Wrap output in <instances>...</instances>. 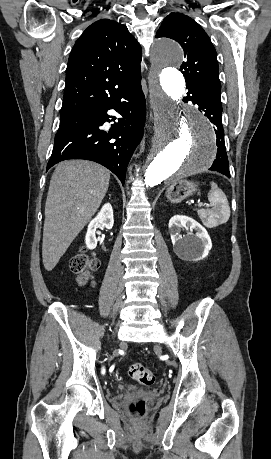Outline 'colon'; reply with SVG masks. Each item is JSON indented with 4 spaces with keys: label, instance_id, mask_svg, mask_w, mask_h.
I'll use <instances>...</instances> for the list:
<instances>
[{
    "label": "colon",
    "instance_id": "1",
    "mask_svg": "<svg viewBox=\"0 0 271 459\" xmlns=\"http://www.w3.org/2000/svg\"><path fill=\"white\" fill-rule=\"evenodd\" d=\"M70 1L75 4L79 0ZM98 267V260L90 257L85 247H82L79 253L70 260V268L77 276V280L80 284H86L91 278V273L96 271ZM129 374L132 379L143 385L149 386L154 382L153 373L141 363L132 364L129 368ZM129 409L133 416L140 419L145 415L146 404L143 400L133 401Z\"/></svg>",
    "mask_w": 271,
    "mask_h": 459
}]
</instances>
